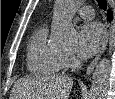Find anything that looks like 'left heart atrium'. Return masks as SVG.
Returning <instances> with one entry per match:
<instances>
[{
    "instance_id": "left-heart-atrium-1",
    "label": "left heart atrium",
    "mask_w": 115,
    "mask_h": 99,
    "mask_svg": "<svg viewBox=\"0 0 115 99\" xmlns=\"http://www.w3.org/2000/svg\"><path fill=\"white\" fill-rule=\"evenodd\" d=\"M105 33L98 22L85 24L79 32L78 53L82 58H89L102 46Z\"/></svg>"
}]
</instances>
